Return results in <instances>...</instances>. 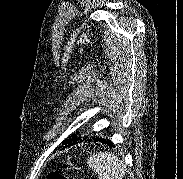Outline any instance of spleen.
I'll list each match as a JSON object with an SVG mask.
<instances>
[{
    "label": "spleen",
    "mask_w": 183,
    "mask_h": 179,
    "mask_svg": "<svg viewBox=\"0 0 183 179\" xmlns=\"http://www.w3.org/2000/svg\"><path fill=\"white\" fill-rule=\"evenodd\" d=\"M88 166L98 174L99 179H123L126 166L110 152H98L88 158Z\"/></svg>",
    "instance_id": "1"
}]
</instances>
